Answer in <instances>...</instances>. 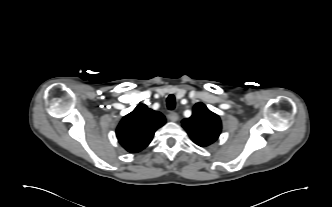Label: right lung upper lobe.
Segmentation results:
<instances>
[{"instance_id":"cb5924a9","label":"right lung upper lobe","mask_w":332,"mask_h":207,"mask_svg":"<svg viewBox=\"0 0 332 207\" xmlns=\"http://www.w3.org/2000/svg\"><path fill=\"white\" fill-rule=\"evenodd\" d=\"M166 119L158 111L139 104L131 113L122 118L116 129L119 143L130 153L143 150L151 142L155 131L163 126Z\"/></svg>"}]
</instances>
